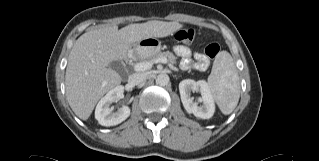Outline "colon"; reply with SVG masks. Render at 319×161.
<instances>
[{
    "instance_id": "colon-1",
    "label": "colon",
    "mask_w": 319,
    "mask_h": 161,
    "mask_svg": "<svg viewBox=\"0 0 319 161\" xmlns=\"http://www.w3.org/2000/svg\"><path fill=\"white\" fill-rule=\"evenodd\" d=\"M195 30L191 28L180 29L175 33V40L180 43L190 44L195 39ZM220 51L217 42H209L204 46V55L208 58H215Z\"/></svg>"
}]
</instances>
